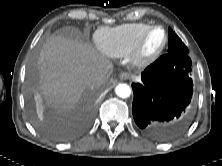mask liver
Returning a JSON list of instances; mask_svg holds the SVG:
<instances>
[{
  "label": "liver",
  "mask_w": 222,
  "mask_h": 166,
  "mask_svg": "<svg viewBox=\"0 0 222 166\" xmlns=\"http://www.w3.org/2000/svg\"><path fill=\"white\" fill-rule=\"evenodd\" d=\"M112 64L100 56L91 44L62 36L50 37L44 45L41 63V88L46 105L59 113L78 104L86 88L105 84ZM104 76L100 84H89L92 73Z\"/></svg>",
  "instance_id": "obj_1"
}]
</instances>
